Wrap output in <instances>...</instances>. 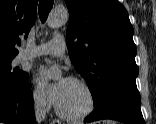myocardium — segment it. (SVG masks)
I'll use <instances>...</instances> for the list:
<instances>
[{
	"instance_id": "1",
	"label": "myocardium",
	"mask_w": 156,
	"mask_h": 124,
	"mask_svg": "<svg viewBox=\"0 0 156 124\" xmlns=\"http://www.w3.org/2000/svg\"><path fill=\"white\" fill-rule=\"evenodd\" d=\"M68 80L80 85L81 87L84 88L86 91L88 98H89V103L88 106L85 110H83L80 113L77 114H69L64 112L58 104L55 102V111L56 113L63 119L68 120V121H80L84 120L87 117H89L91 114H93L96 110L97 107V97L96 94L93 90V88L90 86L89 83H87L85 80L78 78V77H69Z\"/></svg>"
}]
</instances>
